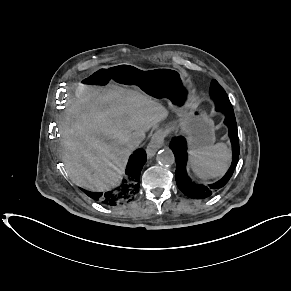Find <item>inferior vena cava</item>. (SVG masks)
I'll return each instance as SVG.
<instances>
[{
    "label": "inferior vena cava",
    "instance_id": "inferior-vena-cava-1",
    "mask_svg": "<svg viewBox=\"0 0 291 291\" xmlns=\"http://www.w3.org/2000/svg\"><path fill=\"white\" fill-rule=\"evenodd\" d=\"M141 143V139L138 137H132L129 141H128V146L131 149L137 148L139 146V144Z\"/></svg>",
    "mask_w": 291,
    "mask_h": 291
}]
</instances>
